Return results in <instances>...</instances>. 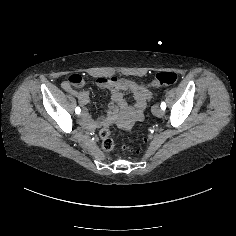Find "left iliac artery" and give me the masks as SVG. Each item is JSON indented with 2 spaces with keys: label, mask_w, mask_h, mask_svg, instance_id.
<instances>
[{
  "label": "left iliac artery",
  "mask_w": 236,
  "mask_h": 236,
  "mask_svg": "<svg viewBox=\"0 0 236 236\" xmlns=\"http://www.w3.org/2000/svg\"><path fill=\"white\" fill-rule=\"evenodd\" d=\"M161 109L165 110L166 109V104L164 102L161 103Z\"/></svg>",
  "instance_id": "44dca946"
}]
</instances>
